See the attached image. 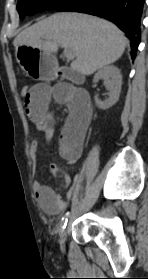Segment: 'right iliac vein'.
I'll use <instances>...</instances> for the list:
<instances>
[{"mask_svg": "<svg viewBox=\"0 0 148 279\" xmlns=\"http://www.w3.org/2000/svg\"><path fill=\"white\" fill-rule=\"evenodd\" d=\"M68 232H69V225L61 233L60 243H61L62 247L64 246V243H65V240L67 238Z\"/></svg>", "mask_w": 148, "mask_h": 279, "instance_id": "1", "label": "right iliac vein"}]
</instances>
